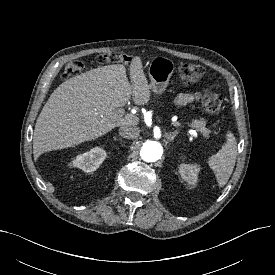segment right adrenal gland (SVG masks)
<instances>
[{"label": "right adrenal gland", "instance_id": "1", "mask_svg": "<svg viewBox=\"0 0 275 275\" xmlns=\"http://www.w3.org/2000/svg\"><path fill=\"white\" fill-rule=\"evenodd\" d=\"M113 139H114V140L117 139V140H119L120 142H122V138H120V137H117V138H116V137H113Z\"/></svg>", "mask_w": 275, "mask_h": 275}]
</instances>
